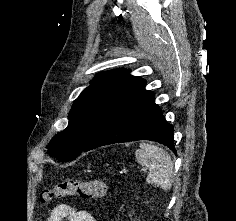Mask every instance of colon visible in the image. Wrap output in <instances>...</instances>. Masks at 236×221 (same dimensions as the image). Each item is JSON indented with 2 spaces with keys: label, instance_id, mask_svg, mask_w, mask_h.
Instances as JSON below:
<instances>
[{
  "label": "colon",
  "instance_id": "colon-1",
  "mask_svg": "<svg viewBox=\"0 0 236 221\" xmlns=\"http://www.w3.org/2000/svg\"><path fill=\"white\" fill-rule=\"evenodd\" d=\"M108 186L103 181H85L78 178H66L41 193L43 202H50L65 197L78 196L82 199L103 198Z\"/></svg>",
  "mask_w": 236,
  "mask_h": 221
}]
</instances>
